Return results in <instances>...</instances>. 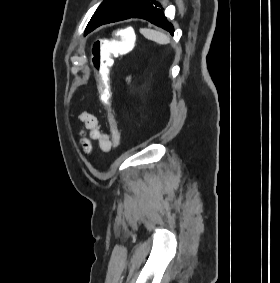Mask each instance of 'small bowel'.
Wrapping results in <instances>:
<instances>
[{
	"label": "small bowel",
	"instance_id": "obj_1",
	"mask_svg": "<svg viewBox=\"0 0 280 283\" xmlns=\"http://www.w3.org/2000/svg\"><path fill=\"white\" fill-rule=\"evenodd\" d=\"M79 118L83 125V130H82L83 137L81 139V144L83 150L86 153H89L92 150L91 140L96 141L99 150L105 153L111 151L112 148L118 145L114 141L116 132H118L120 136V132L117 128L116 122L110 121L111 132L110 134H107L102 130L99 120L93 114L88 112H83L80 114Z\"/></svg>",
	"mask_w": 280,
	"mask_h": 283
}]
</instances>
